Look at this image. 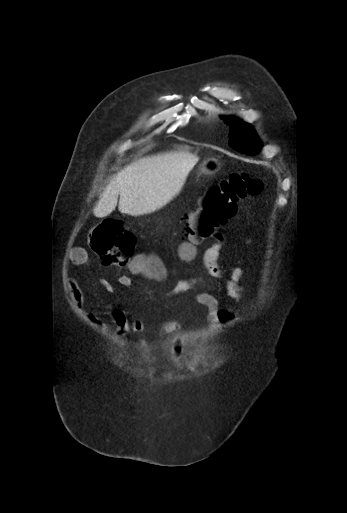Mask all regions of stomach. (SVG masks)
I'll return each instance as SVG.
<instances>
[{
	"label": "stomach",
	"instance_id": "obj_1",
	"mask_svg": "<svg viewBox=\"0 0 347 513\" xmlns=\"http://www.w3.org/2000/svg\"><path fill=\"white\" fill-rule=\"evenodd\" d=\"M220 164L215 159H208L200 166L199 170L202 174L211 175L217 172Z\"/></svg>",
	"mask_w": 347,
	"mask_h": 513
}]
</instances>
